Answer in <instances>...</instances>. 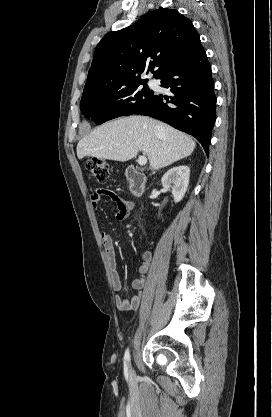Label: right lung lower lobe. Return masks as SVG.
I'll return each instance as SVG.
<instances>
[{
    "label": "right lung lower lobe",
    "instance_id": "right-lung-lower-lobe-1",
    "mask_svg": "<svg viewBox=\"0 0 272 417\" xmlns=\"http://www.w3.org/2000/svg\"><path fill=\"white\" fill-rule=\"evenodd\" d=\"M157 79L171 94H154L134 114L151 116L193 135L209 153L211 132L216 118V96L211 67L201 43L182 62Z\"/></svg>",
    "mask_w": 272,
    "mask_h": 417
}]
</instances>
